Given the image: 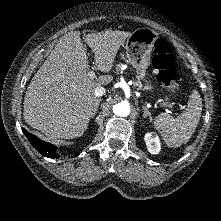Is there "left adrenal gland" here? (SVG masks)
I'll list each match as a JSON object with an SVG mask.
<instances>
[{"mask_svg":"<svg viewBox=\"0 0 221 221\" xmlns=\"http://www.w3.org/2000/svg\"><path fill=\"white\" fill-rule=\"evenodd\" d=\"M142 108L144 110L143 118H146L149 116V119L152 120L151 113L148 111L147 107L145 105H143Z\"/></svg>","mask_w":221,"mask_h":221,"instance_id":"obj_1","label":"left adrenal gland"}]
</instances>
